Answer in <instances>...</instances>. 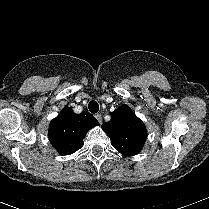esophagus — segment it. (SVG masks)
I'll use <instances>...</instances> for the list:
<instances>
[{
	"label": "esophagus",
	"instance_id": "34e87169",
	"mask_svg": "<svg viewBox=\"0 0 209 209\" xmlns=\"http://www.w3.org/2000/svg\"><path fill=\"white\" fill-rule=\"evenodd\" d=\"M95 118L98 120L99 123H102V116L100 114H96Z\"/></svg>",
	"mask_w": 209,
	"mask_h": 209
}]
</instances>
